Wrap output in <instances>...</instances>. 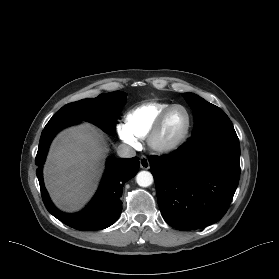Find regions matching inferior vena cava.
Instances as JSON below:
<instances>
[{
  "label": "inferior vena cava",
  "mask_w": 279,
  "mask_h": 279,
  "mask_svg": "<svg viewBox=\"0 0 279 279\" xmlns=\"http://www.w3.org/2000/svg\"><path fill=\"white\" fill-rule=\"evenodd\" d=\"M117 154L119 157L122 158H131L136 155V152L131 146L126 144H120L117 147Z\"/></svg>",
  "instance_id": "1"
}]
</instances>
